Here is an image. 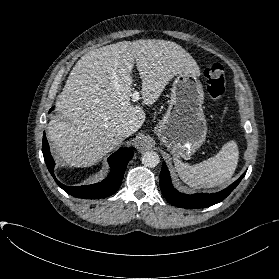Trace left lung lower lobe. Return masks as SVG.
<instances>
[{"label":"left lung lower lobe","mask_w":279,"mask_h":279,"mask_svg":"<svg viewBox=\"0 0 279 279\" xmlns=\"http://www.w3.org/2000/svg\"><path fill=\"white\" fill-rule=\"evenodd\" d=\"M246 172L226 189L217 193H197L187 195L178 192L171 184L170 174L165 163L162 165L160 173V188L163 196L174 206L189 209L205 208L217 204L224 200L240 183Z\"/></svg>","instance_id":"obj_1"}]
</instances>
